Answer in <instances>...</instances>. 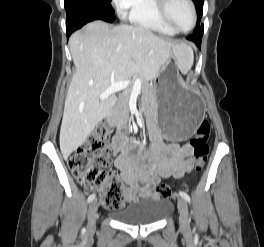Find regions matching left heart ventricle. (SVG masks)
Masks as SVG:
<instances>
[{"label": "left heart ventricle", "mask_w": 264, "mask_h": 247, "mask_svg": "<svg viewBox=\"0 0 264 247\" xmlns=\"http://www.w3.org/2000/svg\"><path fill=\"white\" fill-rule=\"evenodd\" d=\"M168 14L177 28L185 29L191 25L192 12L186 0H170Z\"/></svg>", "instance_id": "b2bd125f"}]
</instances>
